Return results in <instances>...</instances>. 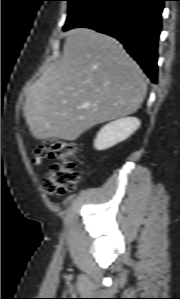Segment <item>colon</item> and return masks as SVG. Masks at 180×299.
Instances as JSON below:
<instances>
[{"label":"colon","instance_id":"colon-1","mask_svg":"<svg viewBox=\"0 0 180 299\" xmlns=\"http://www.w3.org/2000/svg\"><path fill=\"white\" fill-rule=\"evenodd\" d=\"M75 144L66 140H54L40 145L33 156L35 164L46 158L53 159L45 173L42 187L50 196H60L73 191L81 180V173L75 166Z\"/></svg>","mask_w":180,"mask_h":299}]
</instances>
